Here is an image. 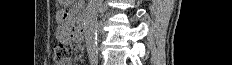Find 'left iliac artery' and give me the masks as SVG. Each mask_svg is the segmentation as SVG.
Segmentation results:
<instances>
[{
    "mask_svg": "<svg viewBox=\"0 0 232 65\" xmlns=\"http://www.w3.org/2000/svg\"><path fill=\"white\" fill-rule=\"evenodd\" d=\"M91 65H98V58L96 56H92L90 58Z\"/></svg>",
    "mask_w": 232,
    "mask_h": 65,
    "instance_id": "1",
    "label": "left iliac artery"
}]
</instances>
